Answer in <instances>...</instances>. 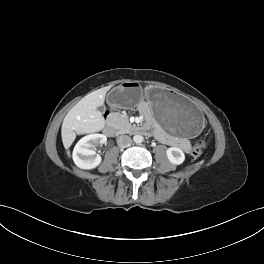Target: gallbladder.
Returning a JSON list of instances; mask_svg holds the SVG:
<instances>
[{"instance_id":"obj_1","label":"gallbladder","mask_w":264,"mask_h":264,"mask_svg":"<svg viewBox=\"0 0 264 264\" xmlns=\"http://www.w3.org/2000/svg\"><path fill=\"white\" fill-rule=\"evenodd\" d=\"M98 111L101 112V113H104L105 112V106L102 105L98 108Z\"/></svg>"}]
</instances>
